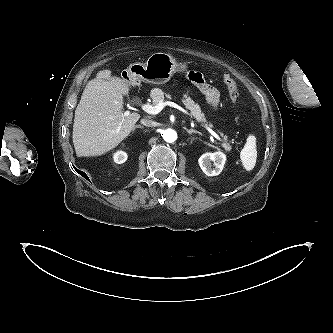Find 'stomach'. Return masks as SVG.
Here are the masks:
<instances>
[{"instance_id":"1","label":"stomach","mask_w":333,"mask_h":333,"mask_svg":"<svg viewBox=\"0 0 333 333\" xmlns=\"http://www.w3.org/2000/svg\"><path fill=\"white\" fill-rule=\"evenodd\" d=\"M187 69L186 64H181L167 53H154L145 63L137 62L131 64L126 70L124 80L133 84L147 82L152 84H165L176 72H183Z\"/></svg>"}]
</instances>
